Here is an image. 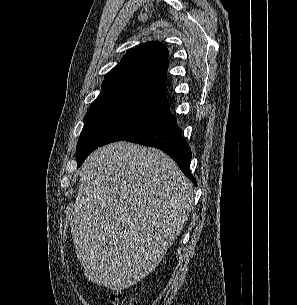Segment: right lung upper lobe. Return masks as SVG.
I'll list each match as a JSON object with an SVG mask.
<instances>
[{
    "label": "right lung upper lobe",
    "instance_id": "1",
    "mask_svg": "<svg viewBox=\"0 0 297 305\" xmlns=\"http://www.w3.org/2000/svg\"><path fill=\"white\" fill-rule=\"evenodd\" d=\"M168 50L147 42L128 52L104 79L103 90L91 106L118 98H146L166 103Z\"/></svg>",
    "mask_w": 297,
    "mask_h": 305
}]
</instances>
